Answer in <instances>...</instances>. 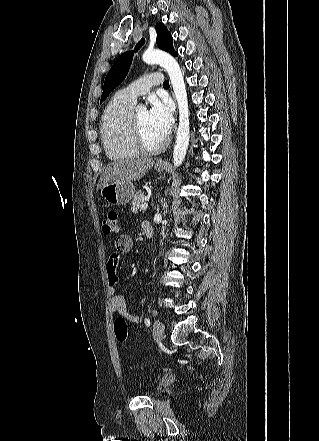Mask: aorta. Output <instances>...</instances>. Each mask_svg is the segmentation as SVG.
I'll return each instance as SVG.
<instances>
[{"mask_svg": "<svg viewBox=\"0 0 319 441\" xmlns=\"http://www.w3.org/2000/svg\"><path fill=\"white\" fill-rule=\"evenodd\" d=\"M142 59L150 65L159 64L166 69L170 77L179 108V126L173 151V163L178 167L182 164L189 145V109L183 74L176 59L166 51L147 49Z\"/></svg>", "mask_w": 319, "mask_h": 441, "instance_id": "1", "label": "aorta"}]
</instances>
